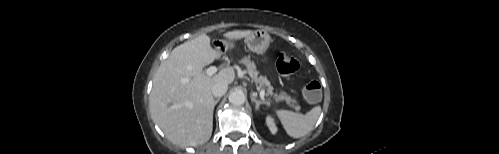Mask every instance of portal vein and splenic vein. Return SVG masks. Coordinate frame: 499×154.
<instances>
[{
	"mask_svg": "<svg viewBox=\"0 0 499 154\" xmlns=\"http://www.w3.org/2000/svg\"><path fill=\"white\" fill-rule=\"evenodd\" d=\"M217 70H218V69H217L216 67L211 66V67H209V68H207V69H206V74H207L208 76H212L213 74H215V73L217 72ZM264 94H265V93H264V91H261V92H260V97H261L262 99H264Z\"/></svg>",
	"mask_w": 499,
	"mask_h": 154,
	"instance_id": "portal-vein-and-splenic-vein-1",
	"label": "portal vein and splenic vein"
}]
</instances>
